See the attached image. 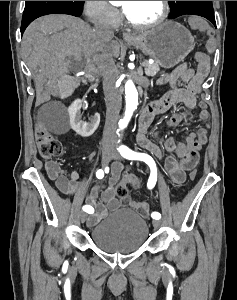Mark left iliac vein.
<instances>
[{
    "label": "left iliac vein",
    "mask_w": 237,
    "mask_h": 300,
    "mask_svg": "<svg viewBox=\"0 0 237 300\" xmlns=\"http://www.w3.org/2000/svg\"><path fill=\"white\" fill-rule=\"evenodd\" d=\"M111 159L120 160L121 157H120L119 153L114 150L113 154L111 155ZM160 225H161V221H159V220H153V226L155 228H159Z\"/></svg>",
    "instance_id": "4c4485c4"
}]
</instances>
